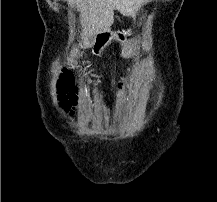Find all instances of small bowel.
Instances as JSON below:
<instances>
[{
    "label": "small bowel",
    "mask_w": 217,
    "mask_h": 202,
    "mask_svg": "<svg viewBox=\"0 0 217 202\" xmlns=\"http://www.w3.org/2000/svg\"><path fill=\"white\" fill-rule=\"evenodd\" d=\"M89 90H94V85H89Z\"/></svg>",
    "instance_id": "c3829d8e"
}]
</instances>
